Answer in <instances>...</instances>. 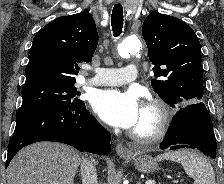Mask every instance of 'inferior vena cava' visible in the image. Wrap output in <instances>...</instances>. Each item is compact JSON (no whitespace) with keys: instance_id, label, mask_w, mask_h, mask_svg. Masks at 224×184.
I'll list each match as a JSON object with an SVG mask.
<instances>
[{"instance_id":"1","label":"inferior vena cava","mask_w":224,"mask_h":184,"mask_svg":"<svg viewBox=\"0 0 224 184\" xmlns=\"http://www.w3.org/2000/svg\"><path fill=\"white\" fill-rule=\"evenodd\" d=\"M82 184H98L95 165L89 159L82 157L80 162Z\"/></svg>"}]
</instances>
